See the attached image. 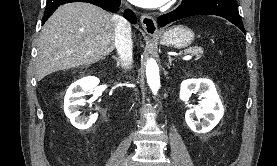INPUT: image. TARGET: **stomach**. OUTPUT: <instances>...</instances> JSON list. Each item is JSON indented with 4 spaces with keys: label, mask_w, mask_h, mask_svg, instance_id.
<instances>
[{
    "label": "stomach",
    "mask_w": 277,
    "mask_h": 166,
    "mask_svg": "<svg viewBox=\"0 0 277 166\" xmlns=\"http://www.w3.org/2000/svg\"><path fill=\"white\" fill-rule=\"evenodd\" d=\"M162 45L175 48H185L194 41V32L186 26H174L159 35Z\"/></svg>",
    "instance_id": "0dacf381"
}]
</instances>
